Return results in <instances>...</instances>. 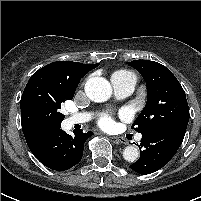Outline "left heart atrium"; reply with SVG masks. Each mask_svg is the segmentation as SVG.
I'll list each match as a JSON object with an SVG mask.
<instances>
[{
	"mask_svg": "<svg viewBox=\"0 0 201 201\" xmlns=\"http://www.w3.org/2000/svg\"><path fill=\"white\" fill-rule=\"evenodd\" d=\"M99 125L104 129H108V128L112 127V125H113L112 117L108 114L101 116L99 119Z\"/></svg>",
	"mask_w": 201,
	"mask_h": 201,
	"instance_id": "left-heart-atrium-1",
	"label": "left heart atrium"
}]
</instances>
